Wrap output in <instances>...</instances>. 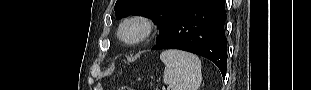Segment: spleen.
Listing matches in <instances>:
<instances>
[{
  "label": "spleen",
  "instance_id": "1",
  "mask_svg": "<svg viewBox=\"0 0 311 90\" xmlns=\"http://www.w3.org/2000/svg\"><path fill=\"white\" fill-rule=\"evenodd\" d=\"M165 65L163 81L171 90H198L201 81V61L189 52L166 50L160 54Z\"/></svg>",
  "mask_w": 311,
  "mask_h": 90
}]
</instances>
